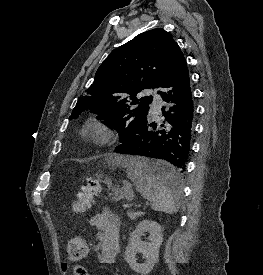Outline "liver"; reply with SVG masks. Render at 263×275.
I'll list each match as a JSON object with an SVG mask.
<instances>
[{
  "mask_svg": "<svg viewBox=\"0 0 263 275\" xmlns=\"http://www.w3.org/2000/svg\"><path fill=\"white\" fill-rule=\"evenodd\" d=\"M121 160H122V158H120V157H116V158H115V162H116V163H120Z\"/></svg>",
  "mask_w": 263,
  "mask_h": 275,
  "instance_id": "6515ba94",
  "label": "liver"
}]
</instances>
